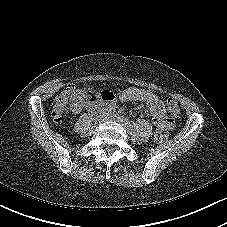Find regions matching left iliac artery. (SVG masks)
Wrapping results in <instances>:
<instances>
[{
    "label": "left iliac artery",
    "mask_w": 227,
    "mask_h": 227,
    "mask_svg": "<svg viewBox=\"0 0 227 227\" xmlns=\"http://www.w3.org/2000/svg\"><path fill=\"white\" fill-rule=\"evenodd\" d=\"M119 119H121V121L124 122L130 130L133 128V124L130 121H128L127 118L119 116Z\"/></svg>",
    "instance_id": "obj_1"
}]
</instances>
